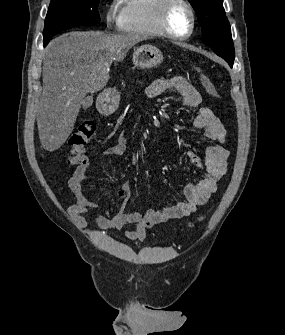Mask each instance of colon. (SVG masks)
Instances as JSON below:
<instances>
[{"label":"colon","mask_w":285,"mask_h":335,"mask_svg":"<svg viewBox=\"0 0 285 335\" xmlns=\"http://www.w3.org/2000/svg\"><path fill=\"white\" fill-rule=\"evenodd\" d=\"M198 78L205 91L212 97L219 98L220 95L212 83V81L203 74L199 69H196ZM96 132V124L93 121H85L81 123L70 137V150L68 154V162L71 165L80 166L86 164V145L91 141ZM204 217H200L198 222H201ZM194 226V224H191Z\"/></svg>","instance_id":"colon-1"}]
</instances>
